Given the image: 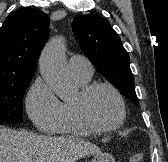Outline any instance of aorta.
Wrapping results in <instances>:
<instances>
[{
    "mask_svg": "<svg viewBox=\"0 0 168 162\" xmlns=\"http://www.w3.org/2000/svg\"><path fill=\"white\" fill-rule=\"evenodd\" d=\"M65 43L58 37L44 47L40 56V72L43 79L52 87L55 94L63 99L73 98L75 86L66 67Z\"/></svg>",
    "mask_w": 168,
    "mask_h": 162,
    "instance_id": "1",
    "label": "aorta"
}]
</instances>
